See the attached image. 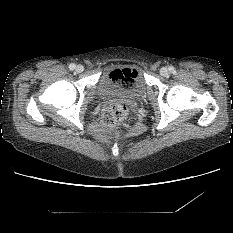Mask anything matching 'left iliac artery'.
<instances>
[{"label":"left iliac artery","instance_id":"obj_1","mask_svg":"<svg viewBox=\"0 0 233 233\" xmlns=\"http://www.w3.org/2000/svg\"><path fill=\"white\" fill-rule=\"evenodd\" d=\"M169 71L170 72H174V68L173 67H169Z\"/></svg>","mask_w":233,"mask_h":233}]
</instances>
